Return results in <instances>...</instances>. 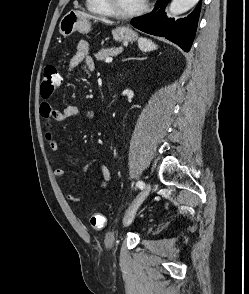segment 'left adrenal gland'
<instances>
[{
    "instance_id": "obj_1",
    "label": "left adrenal gland",
    "mask_w": 249,
    "mask_h": 294,
    "mask_svg": "<svg viewBox=\"0 0 249 294\" xmlns=\"http://www.w3.org/2000/svg\"><path fill=\"white\" fill-rule=\"evenodd\" d=\"M129 59H138V60H140V58H128V59H126V60H129Z\"/></svg>"
}]
</instances>
